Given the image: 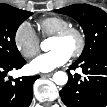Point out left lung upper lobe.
Instances as JSON below:
<instances>
[{
    "label": "left lung upper lobe",
    "instance_id": "left-lung-upper-lobe-1",
    "mask_svg": "<svg viewBox=\"0 0 107 107\" xmlns=\"http://www.w3.org/2000/svg\"><path fill=\"white\" fill-rule=\"evenodd\" d=\"M55 12L73 17L83 28L86 44L78 60H84L99 51L107 50L106 12L88 4H74Z\"/></svg>",
    "mask_w": 107,
    "mask_h": 107
}]
</instances>
